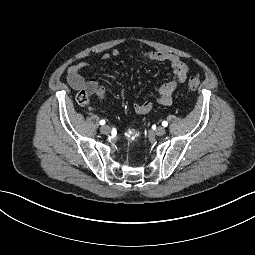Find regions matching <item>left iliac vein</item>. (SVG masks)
Here are the masks:
<instances>
[{"instance_id":"4c4485c4","label":"left iliac vein","mask_w":255,"mask_h":255,"mask_svg":"<svg viewBox=\"0 0 255 255\" xmlns=\"http://www.w3.org/2000/svg\"><path fill=\"white\" fill-rule=\"evenodd\" d=\"M155 133L158 135V136H163L165 133H166V130L163 128V127H158L155 131Z\"/></svg>"}]
</instances>
